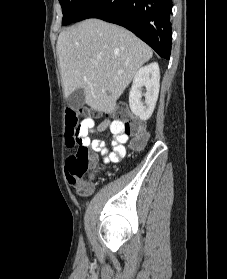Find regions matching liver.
<instances>
[{
  "mask_svg": "<svg viewBox=\"0 0 227 279\" xmlns=\"http://www.w3.org/2000/svg\"><path fill=\"white\" fill-rule=\"evenodd\" d=\"M57 53L64 96L81 88L86 104L107 114L115 110L116 101L153 55L133 33L99 19L62 31Z\"/></svg>",
  "mask_w": 227,
  "mask_h": 279,
  "instance_id": "obj_1",
  "label": "liver"
}]
</instances>
